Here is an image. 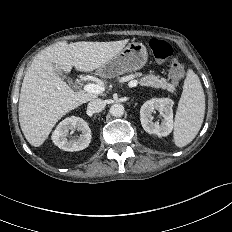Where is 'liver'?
Listing matches in <instances>:
<instances>
[{
  "label": "liver",
  "mask_w": 232,
  "mask_h": 232,
  "mask_svg": "<svg viewBox=\"0 0 232 232\" xmlns=\"http://www.w3.org/2000/svg\"><path fill=\"white\" fill-rule=\"evenodd\" d=\"M129 39L110 42H57L42 50L32 61L23 79L19 98V122L26 140L41 146L57 121L96 95L74 92L56 73L91 72L110 61Z\"/></svg>",
  "instance_id": "liver-1"
}]
</instances>
